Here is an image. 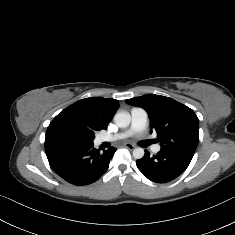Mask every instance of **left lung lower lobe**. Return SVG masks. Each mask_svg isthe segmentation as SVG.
Wrapping results in <instances>:
<instances>
[{
    "label": "left lung lower lobe",
    "mask_w": 235,
    "mask_h": 235,
    "mask_svg": "<svg viewBox=\"0 0 235 235\" xmlns=\"http://www.w3.org/2000/svg\"><path fill=\"white\" fill-rule=\"evenodd\" d=\"M192 158L183 154L161 149L151 156L145 150L143 158L136 161L138 169L151 181L164 183L171 181L183 173Z\"/></svg>",
    "instance_id": "1"
}]
</instances>
